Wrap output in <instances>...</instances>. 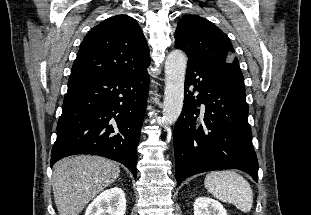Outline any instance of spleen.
<instances>
[{"mask_svg":"<svg viewBox=\"0 0 311 215\" xmlns=\"http://www.w3.org/2000/svg\"><path fill=\"white\" fill-rule=\"evenodd\" d=\"M205 188L215 198L232 203L244 213L250 212L253 205V192L248 181L230 170L208 173L204 180Z\"/></svg>","mask_w":311,"mask_h":215,"instance_id":"1","label":"spleen"}]
</instances>
